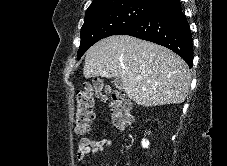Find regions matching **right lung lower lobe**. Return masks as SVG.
Returning <instances> with one entry per match:
<instances>
[{
	"label": "right lung lower lobe",
	"instance_id": "obj_1",
	"mask_svg": "<svg viewBox=\"0 0 227 166\" xmlns=\"http://www.w3.org/2000/svg\"><path fill=\"white\" fill-rule=\"evenodd\" d=\"M119 34L162 45L193 66L192 35L180 0H165Z\"/></svg>",
	"mask_w": 227,
	"mask_h": 166
}]
</instances>
